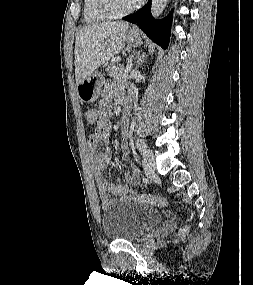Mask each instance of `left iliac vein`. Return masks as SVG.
<instances>
[{
    "mask_svg": "<svg viewBox=\"0 0 253 285\" xmlns=\"http://www.w3.org/2000/svg\"><path fill=\"white\" fill-rule=\"evenodd\" d=\"M143 165L144 170L147 175H151L155 171V159L150 150L146 151V154L143 155Z\"/></svg>",
    "mask_w": 253,
    "mask_h": 285,
    "instance_id": "obj_1",
    "label": "left iliac vein"
}]
</instances>
